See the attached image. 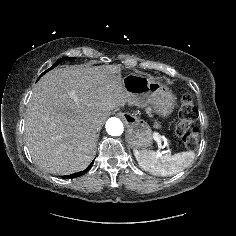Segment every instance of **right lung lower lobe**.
Listing matches in <instances>:
<instances>
[{"mask_svg": "<svg viewBox=\"0 0 236 236\" xmlns=\"http://www.w3.org/2000/svg\"><path fill=\"white\" fill-rule=\"evenodd\" d=\"M93 162H94V161H93ZM93 162H92V163L88 166V168L85 169L84 171H81V172H78V173H75V174H71V175L63 176V178L69 179V178H75V177L81 176L82 174H84L85 172H87L88 170H90V168H91L92 165H93Z\"/></svg>", "mask_w": 236, "mask_h": 236, "instance_id": "1", "label": "right lung lower lobe"}]
</instances>
